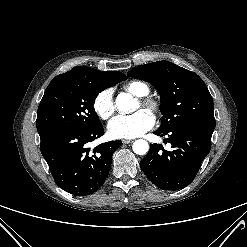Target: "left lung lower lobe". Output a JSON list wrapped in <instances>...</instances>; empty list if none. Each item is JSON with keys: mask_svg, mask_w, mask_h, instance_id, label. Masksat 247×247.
<instances>
[{"mask_svg": "<svg viewBox=\"0 0 247 247\" xmlns=\"http://www.w3.org/2000/svg\"><path fill=\"white\" fill-rule=\"evenodd\" d=\"M158 136H168L171 150L153 144L140 167L148 179L163 190H178L189 185L198 173L202 161L211 149L212 133L203 128L183 125L169 131L157 130Z\"/></svg>", "mask_w": 247, "mask_h": 247, "instance_id": "0a47b994", "label": "left lung lower lobe"}]
</instances>
